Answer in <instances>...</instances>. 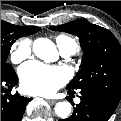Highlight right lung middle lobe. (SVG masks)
<instances>
[{
  "label": "right lung middle lobe",
  "instance_id": "right-lung-middle-lobe-1",
  "mask_svg": "<svg viewBox=\"0 0 121 121\" xmlns=\"http://www.w3.org/2000/svg\"><path fill=\"white\" fill-rule=\"evenodd\" d=\"M31 34L29 27L17 26L1 20V74L13 70L7 63L11 45L22 36Z\"/></svg>",
  "mask_w": 121,
  "mask_h": 121
}]
</instances>
